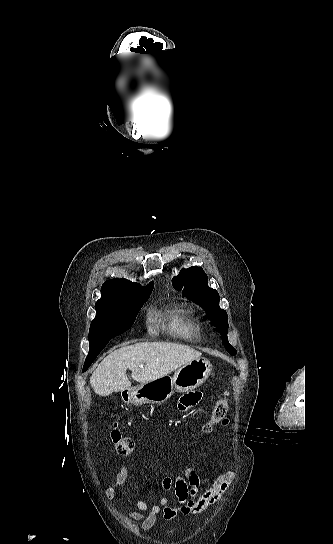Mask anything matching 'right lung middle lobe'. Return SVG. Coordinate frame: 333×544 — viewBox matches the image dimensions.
<instances>
[{
	"label": "right lung middle lobe",
	"instance_id": "obj_1",
	"mask_svg": "<svg viewBox=\"0 0 333 544\" xmlns=\"http://www.w3.org/2000/svg\"><path fill=\"white\" fill-rule=\"evenodd\" d=\"M152 289L135 297L116 299L95 304L96 316L89 329V353L84 367H89L98 354L115 336L127 331L145 303Z\"/></svg>",
	"mask_w": 333,
	"mask_h": 544
}]
</instances>
